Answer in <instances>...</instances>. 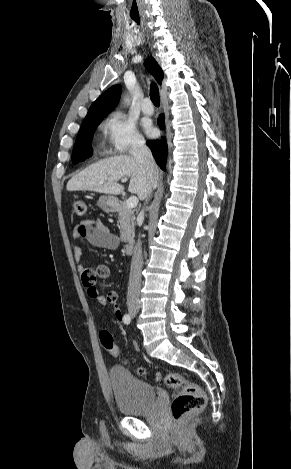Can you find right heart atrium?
Segmentation results:
<instances>
[{
  "mask_svg": "<svg viewBox=\"0 0 291 469\" xmlns=\"http://www.w3.org/2000/svg\"><path fill=\"white\" fill-rule=\"evenodd\" d=\"M106 149L113 154H124L144 145V140L133 121L119 111L109 114L102 123Z\"/></svg>",
  "mask_w": 291,
  "mask_h": 469,
  "instance_id": "obj_1",
  "label": "right heart atrium"
}]
</instances>
